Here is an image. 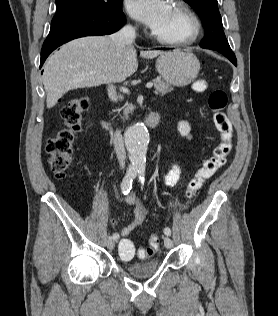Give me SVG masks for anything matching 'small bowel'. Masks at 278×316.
<instances>
[{"instance_id": "small-bowel-1", "label": "small bowel", "mask_w": 278, "mask_h": 316, "mask_svg": "<svg viewBox=\"0 0 278 316\" xmlns=\"http://www.w3.org/2000/svg\"><path fill=\"white\" fill-rule=\"evenodd\" d=\"M181 172H182L181 165L179 164V162L175 161L172 164L171 170L165 176V179H164L165 183L168 186L175 185L181 176ZM124 202L128 205L133 206L134 215L131 222L126 227L122 228L119 234L117 233L119 236H122V237L128 236L136 228H138L145 221L146 214H147L145 205L135 194L133 193L128 194L124 198ZM111 223L114 224L115 220H111Z\"/></svg>"}]
</instances>
